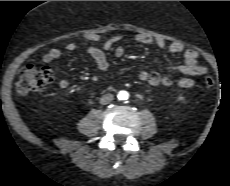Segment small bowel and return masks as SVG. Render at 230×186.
Wrapping results in <instances>:
<instances>
[{
  "label": "small bowel",
  "instance_id": "c3829d8e",
  "mask_svg": "<svg viewBox=\"0 0 230 186\" xmlns=\"http://www.w3.org/2000/svg\"><path fill=\"white\" fill-rule=\"evenodd\" d=\"M119 36L115 37H102L98 34H91L86 37V40L91 43H98L102 44V48L96 46H89L88 53L91 58L94 60L95 64L97 65L98 69L106 72L109 69V62L106 57L104 50H109L113 48L115 43L119 40ZM136 40L139 43L152 45L155 44L159 48L165 47V41L162 39L154 40L150 36L139 34L136 37ZM78 48L76 43H67L65 45V49L67 51H73ZM169 52L171 54H182L183 56V63L181 65L170 66L168 67L169 71L178 72L184 75L178 81V86L182 89H189L194 86V80L192 79L193 76H197L200 74H205L208 72V68L204 65L199 63V52L195 49H185L184 45L180 42L172 43L169 48ZM124 48L118 46L114 49V54L116 57H122L124 55ZM62 57V51L57 48L50 49L44 56L43 61L45 63H51L59 58ZM138 79L142 82H147L151 86H170L171 79L167 76L161 75L158 72H148V71H141L138 74ZM58 86L61 89L69 88V82L65 79H61L58 81Z\"/></svg>",
  "mask_w": 230,
  "mask_h": 186
}]
</instances>
